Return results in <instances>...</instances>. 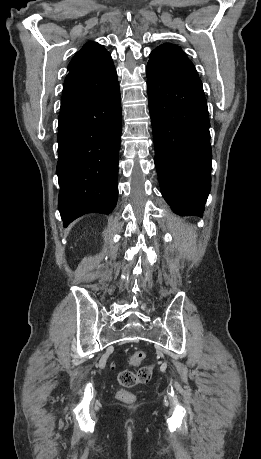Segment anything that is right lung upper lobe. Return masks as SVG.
<instances>
[{
	"mask_svg": "<svg viewBox=\"0 0 261 459\" xmlns=\"http://www.w3.org/2000/svg\"><path fill=\"white\" fill-rule=\"evenodd\" d=\"M68 71L59 117L96 101L118 84L110 53L95 42L86 43L75 54Z\"/></svg>",
	"mask_w": 261,
	"mask_h": 459,
	"instance_id": "obj_1",
	"label": "right lung upper lobe"
}]
</instances>
